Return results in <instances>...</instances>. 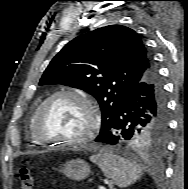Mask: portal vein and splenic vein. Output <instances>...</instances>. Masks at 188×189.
Instances as JSON below:
<instances>
[{
  "label": "portal vein and splenic vein",
  "mask_w": 188,
  "mask_h": 189,
  "mask_svg": "<svg viewBox=\"0 0 188 189\" xmlns=\"http://www.w3.org/2000/svg\"><path fill=\"white\" fill-rule=\"evenodd\" d=\"M99 189H105V187L100 186Z\"/></svg>",
  "instance_id": "18ae733b"
}]
</instances>
